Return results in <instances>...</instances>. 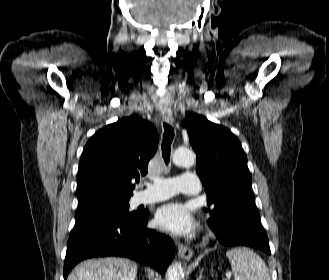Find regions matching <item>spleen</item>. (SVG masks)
I'll return each instance as SVG.
<instances>
[{"mask_svg": "<svg viewBox=\"0 0 329 280\" xmlns=\"http://www.w3.org/2000/svg\"><path fill=\"white\" fill-rule=\"evenodd\" d=\"M226 256L235 280H271L268 268L259 255L246 247L233 248Z\"/></svg>", "mask_w": 329, "mask_h": 280, "instance_id": "1", "label": "spleen"}]
</instances>
